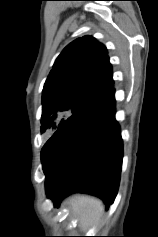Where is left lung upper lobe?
Returning <instances> with one entry per match:
<instances>
[{
  "instance_id": "obj_1",
  "label": "left lung upper lobe",
  "mask_w": 158,
  "mask_h": 237,
  "mask_svg": "<svg viewBox=\"0 0 158 237\" xmlns=\"http://www.w3.org/2000/svg\"><path fill=\"white\" fill-rule=\"evenodd\" d=\"M113 85L106 47L90 36L76 39L57 57L45 82L41 132L56 130Z\"/></svg>"
}]
</instances>
